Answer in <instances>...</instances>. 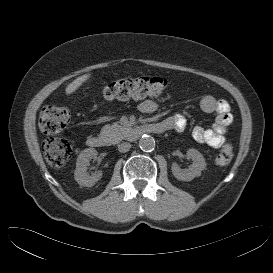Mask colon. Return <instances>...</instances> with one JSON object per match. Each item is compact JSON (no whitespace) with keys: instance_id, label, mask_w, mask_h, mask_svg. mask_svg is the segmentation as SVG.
<instances>
[{"instance_id":"colon-1","label":"colon","mask_w":273,"mask_h":273,"mask_svg":"<svg viewBox=\"0 0 273 273\" xmlns=\"http://www.w3.org/2000/svg\"><path fill=\"white\" fill-rule=\"evenodd\" d=\"M166 87L165 79L161 77H126L107 83L102 91L106 100H128L131 98L156 97ZM70 119L69 111L61 105H47L40 114L39 126L45 134H55L62 131ZM43 150L48 163L54 168L63 167L72 156V144L61 138L47 139ZM233 159L232 145L224 144L219 150L215 162L224 167Z\"/></svg>"}]
</instances>
